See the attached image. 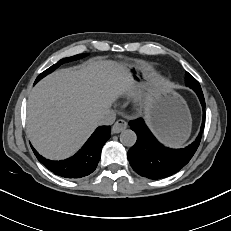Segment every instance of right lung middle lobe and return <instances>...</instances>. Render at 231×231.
Here are the masks:
<instances>
[{
  "label": "right lung middle lobe",
  "mask_w": 231,
  "mask_h": 231,
  "mask_svg": "<svg viewBox=\"0 0 231 231\" xmlns=\"http://www.w3.org/2000/svg\"><path fill=\"white\" fill-rule=\"evenodd\" d=\"M85 56V54H78L72 57H68V58H64L60 61H58L56 64L52 65L50 68H48L47 70H45L44 72H42L36 79L35 83L38 82L41 78H43L44 76H46L47 74L51 73L52 71H54L56 68H58L61 64L66 63V62H70V61H74L77 60L81 57Z\"/></svg>",
  "instance_id": "right-lung-middle-lobe-1"
}]
</instances>
